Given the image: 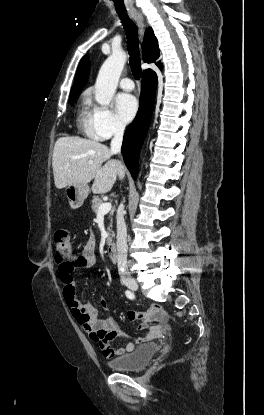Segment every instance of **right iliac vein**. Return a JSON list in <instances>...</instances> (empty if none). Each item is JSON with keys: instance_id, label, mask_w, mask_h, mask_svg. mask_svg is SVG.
Returning <instances> with one entry per match:
<instances>
[{"instance_id": "right-iliac-vein-1", "label": "right iliac vein", "mask_w": 264, "mask_h": 415, "mask_svg": "<svg viewBox=\"0 0 264 415\" xmlns=\"http://www.w3.org/2000/svg\"><path fill=\"white\" fill-rule=\"evenodd\" d=\"M125 285H126L129 289H131V290H133V291H137V290H138V284H137V282H136L135 280H133V279L126 280V281H125Z\"/></svg>"}]
</instances>
